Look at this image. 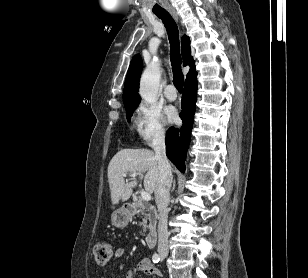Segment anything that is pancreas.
Segmentation results:
<instances>
[{
	"label": "pancreas",
	"instance_id": "cf45deb5",
	"mask_svg": "<svg viewBox=\"0 0 308 278\" xmlns=\"http://www.w3.org/2000/svg\"><path fill=\"white\" fill-rule=\"evenodd\" d=\"M135 208L141 211L144 216L142 222L140 223L143 226V231L145 232L147 229L150 231H154L156 227V211L152 206L145 204L142 200L137 201L135 204ZM147 209V211H144Z\"/></svg>",
	"mask_w": 308,
	"mask_h": 278
}]
</instances>
